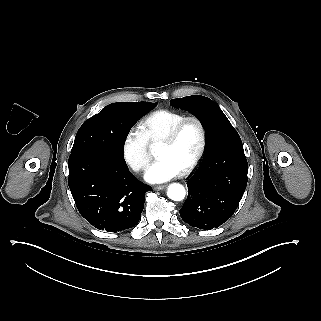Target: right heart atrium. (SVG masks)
<instances>
[{
  "mask_svg": "<svg viewBox=\"0 0 321 321\" xmlns=\"http://www.w3.org/2000/svg\"><path fill=\"white\" fill-rule=\"evenodd\" d=\"M147 137L137 126L131 127L123 137L121 151L123 160L135 172H141L148 164L146 156Z\"/></svg>",
  "mask_w": 321,
  "mask_h": 321,
  "instance_id": "d8ad5b80",
  "label": "right heart atrium"
}]
</instances>
